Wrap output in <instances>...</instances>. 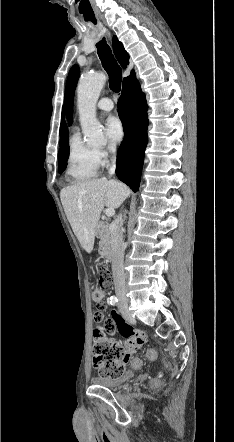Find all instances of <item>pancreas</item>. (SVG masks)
<instances>
[{
    "instance_id": "obj_1",
    "label": "pancreas",
    "mask_w": 234,
    "mask_h": 442,
    "mask_svg": "<svg viewBox=\"0 0 234 442\" xmlns=\"http://www.w3.org/2000/svg\"><path fill=\"white\" fill-rule=\"evenodd\" d=\"M111 250L110 231L108 224H104L102 227L101 240L99 242V251L102 255H108Z\"/></svg>"
}]
</instances>
